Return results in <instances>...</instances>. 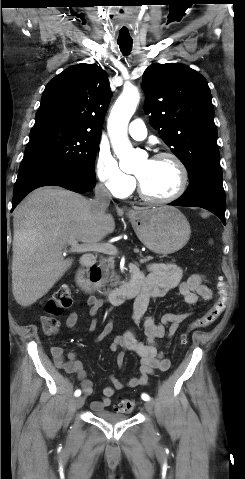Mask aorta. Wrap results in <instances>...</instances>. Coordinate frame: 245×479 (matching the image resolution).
Here are the masks:
<instances>
[{"mask_svg":"<svg viewBox=\"0 0 245 479\" xmlns=\"http://www.w3.org/2000/svg\"><path fill=\"white\" fill-rule=\"evenodd\" d=\"M139 99V92L135 87L124 88L108 119L111 144L120 160V168L125 173H134L139 166L138 158L135 156L134 149L127 136L128 123L136 110Z\"/></svg>","mask_w":245,"mask_h":479,"instance_id":"obj_1","label":"aorta"}]
</instances>
